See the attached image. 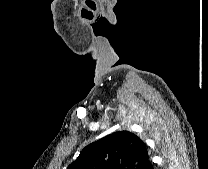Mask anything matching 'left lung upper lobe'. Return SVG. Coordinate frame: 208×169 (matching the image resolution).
I'll list each match as a JSON object with an SVG mask.
<instances>
[{"instance_id": "obj_1", "label": "left lung upper lobe", "mask_w": 208, "mask_h": 169, "mask_svg": "<svg viewBox=\"0 0 208 169\" xmlns=\"http://www.w3.org/2000/svg\"><path fill=\"white\" fill-rule=\"evenodd\" d=\"M148 159L139 137L119 131L87 145L67 169H143Z\"/></svg>"}]
</instances>
